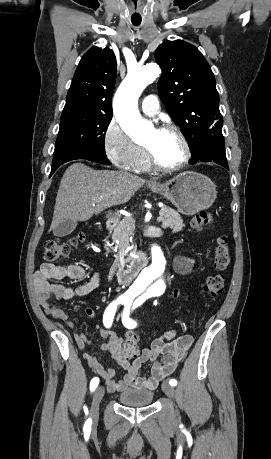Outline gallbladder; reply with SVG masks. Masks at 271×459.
Segmentation results:
<instances>
[{"label":"gallbladder","instance_id":"1","mask_svg":"<svg viewBox=\"0 0 271 459\" xmlns=\"http://www.w3.org/2000/svg\"><path fill=\"white\" fill-rule=\"evenodd\" d=\"M76 226V220H66V222H62V224H59V226L53 228V233L54 235H58V237H63V235H68V233L74 231Z\"/></svg>","mask_w":271,"mask_h":459}]
</instances>
